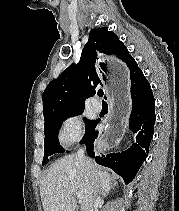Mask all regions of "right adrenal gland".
<instances>
[{"instance_id":"1","label":"right adrenal gland","mask_w":179,"mask_h":211,"mask_svg":"<svg viewBox=\"0 0 179 211\" xmlns=\"http://www.w3.org/2000/svg\"><path fill=\"white\" fill-rule=\"evenodd\" d=\"M115 185H116V183L113 184V186H115ZM107 193H108V192H107ZM107 193H106V194H107Z\"/></svg>"}]
</instances>
